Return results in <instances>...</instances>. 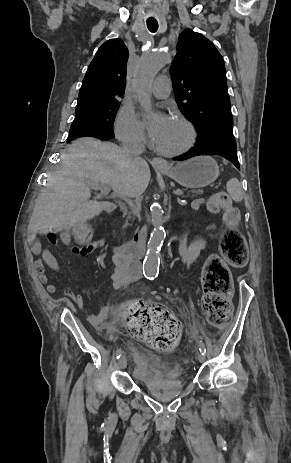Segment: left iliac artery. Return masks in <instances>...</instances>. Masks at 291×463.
<instances>
[{
    "label": "left iliac artery",
    "mask_w": 291,
    "mask_h": 463,
    "mask_svg": "<svg viewBox=\"0 0 291 463\" xmlns=\"http://www.w3.org/2000/svg\"><path fill=\"white\" fill-rule=\"evenodd\" d=\"M199 350L200 352H202L203 354L206 353V348H205V345L201 342L200 345H199Z\"/></svg>",
    "instance_id": "obj_1"
}]
</instances>
